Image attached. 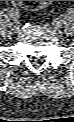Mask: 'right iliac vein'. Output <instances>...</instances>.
Segmentation results:
<instances>
[{"label":"right iliac vein","instance_id":"1","mask_svg":"<svg viewBox=\"0 0 74 122\" xmlns=\"http://www.w3.org/2000/svg\"><path fill=\"white\" fill-rule=\"evenodd\" d=\"M19 28H20V24H19L18 22H15V23L13 24V29H14L15 31H18Z\"/></svg>","mask_w":74,"mask_h":122}]
</instances>
